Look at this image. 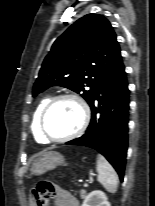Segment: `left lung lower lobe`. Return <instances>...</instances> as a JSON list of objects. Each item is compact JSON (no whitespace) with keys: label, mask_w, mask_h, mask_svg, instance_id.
Wrapping results in <instances>:
<instances>
[{"label":"left lung lower lobe","mask_w":155,"mask_h":206,"mask_svg":"<svg viewBox=\"0 0 155 206\" xmlns=\"http://www.w3.org/2000/svg\"><path fill=\"white\" fill-rule=\"evenodd\" d=\"M89 105L92 117L86 133L66 144L97 150L123 181L128 146L129 90L122 58L104 78Z\"/></svg>","instance_id":"1"}]
</instances>
